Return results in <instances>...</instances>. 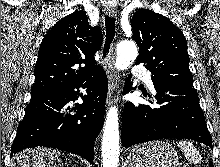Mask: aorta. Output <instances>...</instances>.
Segmentation results:
<instances>
[{
	"mask_svg": "<svg viewBox=\"0 0 220 167\" xmlns=\"http://www.w3.org/2000/svg\"><path fill=\"white\" fill-rule=\"evenodd\" d=\"M137 58V46L131 40H124L118 44L115 67L119 70L127 69ZM103 167H118L119 163V123L118 109L111 107L107 113L103 143L101 148Z\"/></svg>",
	"mask_w": 220,
	"mask_h": 167,
	"instance_id": "1",
	"label": "aorta"
}]
</instances>
